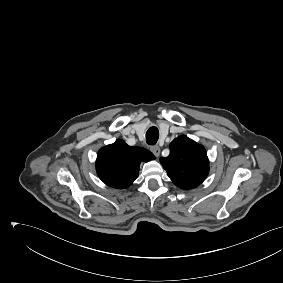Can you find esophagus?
<instances>
[{
  "instance_id": "34e87169",
  "label": "esophagus",
  "mask_w": 283,
  "mask_h": 283,
  "mask_svg": "<svg viewBox=\"0 0 283 283\" xmlns=\"http://www.w3.org/2000/svg\"><path fill=\"white\" fill-rule=\"evenodd\" d=\"M151 151L156 157L160 155V148L158 146H152Z\"/></svg>"
}]
</instances>
